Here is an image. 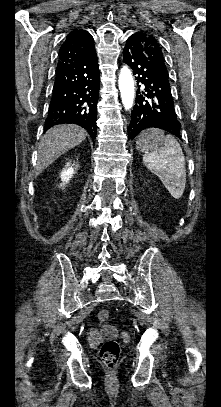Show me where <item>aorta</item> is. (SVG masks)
<instances>
[{"instance_id": "aorta-1", "label": "aorta", "mask_w": 221, "mask_h": 407, "mask_svg": "<svg viewBox=\"0 0 221 407\" xmlns=\"http://www.w3.org/2000/svg\"><path fill=\"white\" fill-rule=\"evenodd\" d=\"M118 86L123 106L126 110H130L134 103L135 86L132 73L127 66H123L120 71Z\"/></svg>"}]
</instances>
